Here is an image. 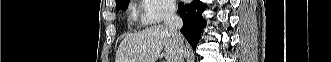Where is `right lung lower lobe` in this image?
<instances>
[{
  "label": "right lung lower lobe",
  "mask_w": 331,
  "mask_h": 62,
  "mask_svg": "<svg viewBox=\"0 0 331 62\" xmlns=\"http://www.w3.org/2000/svg\"><path fill=\"white\" fill-rule=\"evenodd\" d=\"M206 7V4L200 0H193L190 4L180 2L178 6L179 14L183 19L181 33L193 48H196L197 40L200 39L202 28L205 26L202 13Z\"/></svg>",
  "instance_id": "1"
}]
</instances>
